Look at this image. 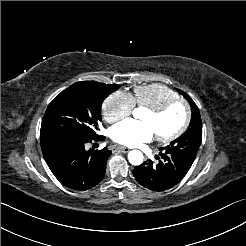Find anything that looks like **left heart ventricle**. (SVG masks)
<instances>
[{"label": "left heart ventricle", "mask_w": 246, "mask_h": 246, "mask_svg": "<svg viewBox=\"0 0 246 246\" xmlns=\"http://www.w3.org/2000/svg\"><path fill=\"white\" fill-rule=\"evenodd\" d=\"M183 119V108L176 104L159 116L151 115L147 110L144 111L141 121L147 123L155 135H167L176 130Z\"/></svg>", "instance_id": "1"}]
</instances>
